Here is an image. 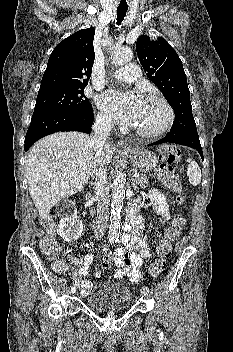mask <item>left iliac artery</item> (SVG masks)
<instances>
[{"label":"left iliac artery","mask_w":233,"mask_h":352,"mask_svg":"<svg viewBox=\"0 0 233 352\" xmlns=\"http://www.w3.org/2000/svg\"><path fill=\"white\" fill-rule=\"evenodd\" d=\"M143 290H144L145 292H149V288H148L147 286H145V287L143 288Z\"/></svg>","instance_id":"44dca946"}]
</instances>
